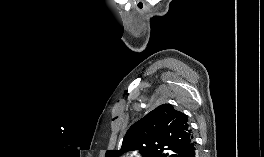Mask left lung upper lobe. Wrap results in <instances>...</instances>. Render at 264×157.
I'll use <instances>...</instances> for the list:
<instances>
[{
    "instance_id": "1",
    "label": "left lung upper lobe",
    "mask_w": 264,
    "mask_h": 157,
    "mask_svg": "<svg viewBox=\"0 0 264 157\" xmlns=\"http://www.w3.org/2000/svg\"><path fill=\"white\" fill-rule=\"evenodd\" d=\"M193 135L188 117L171 104H163L134 123L120 150H108L105 157L138 151L143 157H185Z\"/></svg>"
}]
</instances>
